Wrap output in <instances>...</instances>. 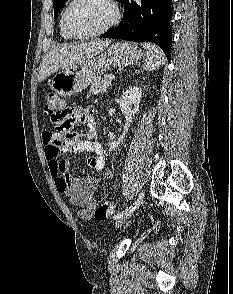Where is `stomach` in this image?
<instances>
[{
    "instance_id": "0dacf381",
    "label": "stomach",
    "mask_w": 233,
    "mask_h": 294,
    "mask_svg": "<svg viewBox=\"0 0 233 294\" xmlns=\"http://www.w3.org/2000/svg\"><path fill=\"white\" fill-rule=\"evenodd\" d=\"M142 56L143 53L136 44L117 42L102 54L54 75L51 88L60 97H70L87 88L106 70L131 65Z\"/></svg>"
}]
</instances>
